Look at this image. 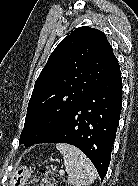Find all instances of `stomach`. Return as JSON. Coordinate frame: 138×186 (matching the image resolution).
I'll use <instances>...</instances> for the list:
<instances>
[{"label": "stomach", "instance_id": "1", "mask_svg": "<svg viewBox=\"0 0 138 186\" xmlns=\"http://www.w3.org/2000/svg\"><path fill=\"white\" fill-rule=\"evenodd\" d=\"M31 173V169L26 166L18 167L14 170L11 176L10 186H25V184L31 177Z\"/></svg>", "mask_w": 138, "mask_h": 186}]
</instances>
